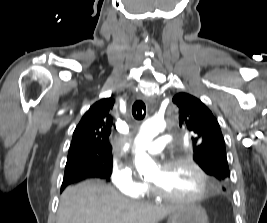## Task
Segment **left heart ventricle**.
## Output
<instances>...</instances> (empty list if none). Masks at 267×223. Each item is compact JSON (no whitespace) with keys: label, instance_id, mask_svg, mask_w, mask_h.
<instances>
[{"label":"left heart ventricle","instance_id":"b2bd125f","mask_svg":"<svg viewBox=\"0 0 267 223\" xmlns=\"http://www.w3.org/2000/svg\"><path fill=\"white\" fill-rule=\"evenodd\" d=\"M163 193L176 197H192L201 189V181L194 169L188 165L158 168L150 178Z\"/></svg>","mask_w":267,"mask_h":223}]
</instances>
